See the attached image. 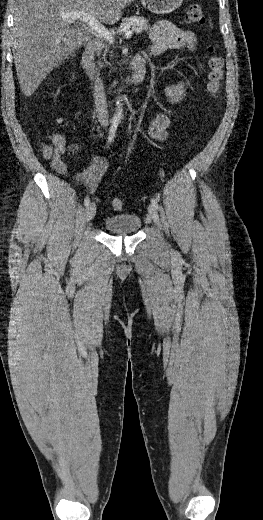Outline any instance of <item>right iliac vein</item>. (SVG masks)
Instances as JSON below:
<instances>
[{
  "instance_id": "1",
  "label": "right iliac vein",
  "mask_w": 263,
  "mask_h": 520,
  "mask_svg": "<svg viewBox=\"0 0 263 520\" xmlns=\"http://www.w3.org/2000/svg\"><path fill=\"white\" fill-rule=\"evenodd\" d=\"M95 214H96V205H95V203L91 202L90 204L87 205V207L85 209V215H86L87 221H91L94 218Z\"/></svg>"
}]
</instances>
